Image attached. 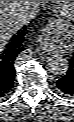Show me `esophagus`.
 Masks as SVG:
<instances>
[{"label":"esophagus","instance_id":"obj_1","mask_svg":"<svg viewBox=\"0 0 74 122\" xmlns=\"http://www.w3.org/2000/svg\"><path fill=\"white\" fill-rule=\"evenodd\" d=\"M37 46L41 50H47L50 46V43L48 41L47 35L43 33L42 35L39 36L37 40Z\"/></svg>","mask_w":74,"mask_h":122}]
</instances>
